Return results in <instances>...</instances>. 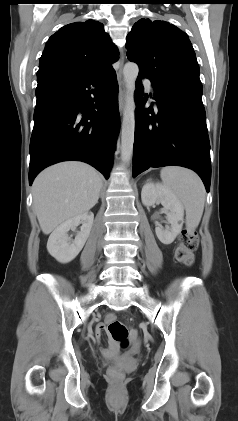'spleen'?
<instances>
[{
	"label": "spleen",
	"instance_id": "3e777b00",
	"mask_svg": "<svg viewBox=\"0 0 238 421\" xmlns=\"http://www.w3.org/2000/svg\"><path fill=\"white\" fill-rule=\"evenodd\" d=\"M163 185L170 190L186 210V225L195 229L201 220L205 204V188L199 176L187 168L166 166L161 169Z\"/></svg>",
	"mask_w": 238,
	"mask_h": 421
}]
</instances>
